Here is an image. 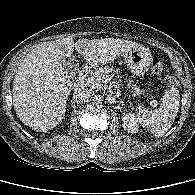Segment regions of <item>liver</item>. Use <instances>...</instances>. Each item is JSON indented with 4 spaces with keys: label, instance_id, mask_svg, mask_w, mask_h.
Returning a JSON list of instances; mask_svg holds the SVG:
<instances>
[{
    "label": "liver",
    "instance_id": "obj_1",
    "mask_svg": "<svg viewBox=\"0 0 195 195\" xmlns=\"http://www.w3.org/2000/svg\"><path fill=\"white\" fill-rule=\"evenodd\" d=\"M138 44L133 41L105 38H63L50 41L30 51L17 68L13 81V106L18 118L38 132H47L64 118L72 81L61 65V58L73 55L74 49L91 66L114 61Z\"/></svg>",
    "mask_w": 195,
    "mask_h": 195
}]
</instances>
